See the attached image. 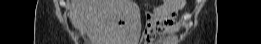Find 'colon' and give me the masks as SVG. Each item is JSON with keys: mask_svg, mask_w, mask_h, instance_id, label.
I'll return each mask as SVG.
<instances>
[{"mask_svg": "<svg viewBox=\"0 0 261 44\" xmlns=\"http://www.w3.org/2000/svg\"><path fill=\"white\" fill-rule=\"evenodd\" d=\"M164 4H169L170 6H182L183 2L182 1L168 0V1H165Z\"/></svg>", "mask_w": 261, "mask_h": 44, "instance_id": "5ec220e1", "label": "colon"}]
</instances>
